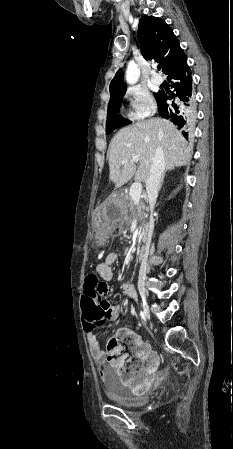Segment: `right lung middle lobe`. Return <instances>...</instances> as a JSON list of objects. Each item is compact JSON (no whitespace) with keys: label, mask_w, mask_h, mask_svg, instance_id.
Returning a JSON list of instances; mask_svg holds the SVG:
<instances>
[{"label":"right lung middle lobe","mask_w":233,"mask_h":449,"mask_svg":"<svg viewBox=\"0 0 233 449\" xmlns=\"http://www.w3.org/2000/svg\"><path fill=\"white\" fill-rule=\"evenodd\" d=\"M125 93L115 95L113 97H110L108 111H107V123H106V133H111L114 129L124 126L128 123H131V121L124 119L120 114V105L122 102V98ZM156 99L159 96V93L154 94Z\"/></svg>","instance_id":"dd1d6c3e"}]
</instances>
